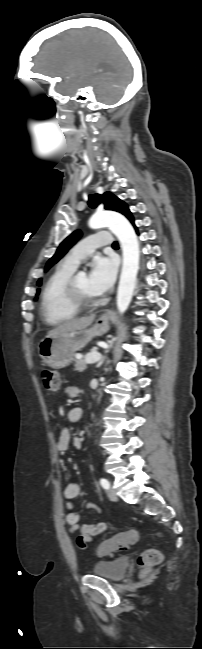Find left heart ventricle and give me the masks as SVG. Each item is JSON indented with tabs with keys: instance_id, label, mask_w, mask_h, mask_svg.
<instances>
[{
	"instance_id": "left-heart-ventricle-1",
	"label": "left heart ventricle",
	"mask_w": 202,
	"mask_h": 649,
	"mask_svg": "<svg viewBox=\"0 0 202 649\" xmlns=\"http://www.w3.org/2000/svg\"><path fill=\"white\" fill-rule=\"evenodd\" d=\"M77 286L79 290L88 296L94 295L93 292L90 289L89 282H88V276L86 275H81L77 277Z\"/></svg>"
}]
</instances>
